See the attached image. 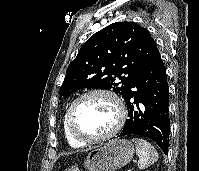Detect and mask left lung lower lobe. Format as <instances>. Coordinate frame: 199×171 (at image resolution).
I'll use <instances>...</instances> for the list:
<instances>
[{
  "instance_id": "0a47b994",
  "label": "left lung lower lobe",
  "mask_w": 199,
  "mask_h": 171,
  "mask_svg": "<svg viewBox=\"0 0 199 171\" xmlns=\"http://www.w3.org/2000/svg\"><path fill=\"white\" fill-rule=\"evenodd\" d=\"M128 119L119 136L137 134L168 152L170 119L166 69L158 49L140 70L124 97Z\"/></svg>"
}]
</instances>
